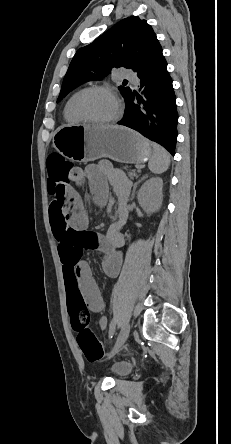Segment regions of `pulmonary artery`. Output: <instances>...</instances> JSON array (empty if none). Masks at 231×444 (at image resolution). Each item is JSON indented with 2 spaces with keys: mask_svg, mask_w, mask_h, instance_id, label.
Listing matches in <instances>:
<instances>
[{
  "mask_svg": "<svg viewBox=\"0 0 231 444\" xmlns=\"http://www.w3.org/2000/svg\"><path fill=\"white\" fill-rule=\"evenodd\" d=\"M123 77H124L126 80H130V81H132V82H134V83H137V82H138V78H137V76L134 75L132 72H130V71H128V70H123Z\"/></svg>",
  "mask_w": 231,
  "mask_h": 444,
  "instance_id": "e3ab8cb5",
  "label": "pulmonary artery"
}]
</instances>
